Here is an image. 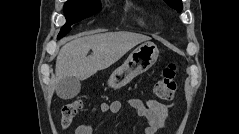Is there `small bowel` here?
Segmentation results:
<instances>
[{"mask_svg":"<svg viewBox=\"0 0 239 134\" xmlns=\"http://www.w3.org/2000/svg\"><path fill=\"white\" fill-rule=\"evenodd\" d=\"M129 104L136 115L146 122L147 126L144 134H157L164 127L171 108L170 104L152 98L146 100L132 98L129 100ZM121 108L122 104L117 100L102 102L95 105L91 109V113L94 114L99 111L102 113L117 114ZM74 134H93V125L91 123L79 125L74 129Z\"/></svg>","mask_w":239,"mask_h":134,"instance_id":"c3829d8e","label":"small bowel"}]
</instances>
